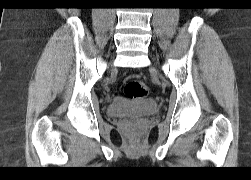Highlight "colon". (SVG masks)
I'll return each mask as SVG.
<instances>
[{
    "instance_id": "obj_1",
    "label": "colon",
    "mask_w": 251,
    "mask_h": 180,
    "mask_svg": "<svg viewBox=\"0 0 251 180\" xmlns=\"http://www.w3.org/2000/svg\"><path fill=\"white\" fill-rule=\"evenodd\" d=\"M125 95L130 99H141L148 95V86L139 80H130L124 87Z\"/></svg>"
}]
</instances>
